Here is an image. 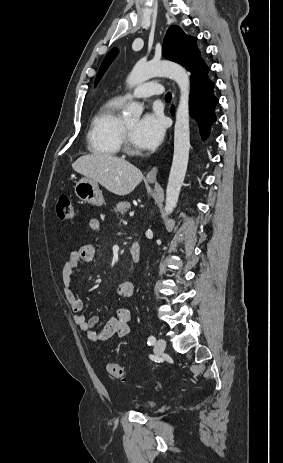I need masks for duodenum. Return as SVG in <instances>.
Segmentation results:
<instances>
[{
    "label": "duodenum",
    "instance_id": "obj_1",
    "mask_svg": "<svg viewBox=\"0 0 283 463\" xmlns=\"http://www.w3.org/2000/svg\"><path fill=\"white\" fill-rule=\"evenodd\" d=\"M141 248L137 240H133L130 247L131 262L136 264L140 260Z\"/></svg>",
    "mask_w": 283,
    "mask_h": 463
}]
</instances>
